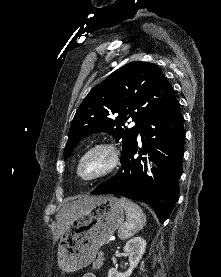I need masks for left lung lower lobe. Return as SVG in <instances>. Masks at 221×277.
Instances as JSON below:
<instances>
[{
    "label": "left lung lower lobe",
    "mask_w": 221,
    "mask_h": 277,
    "mask_svg": "<svg viewBox=\"0 0 221 277\" xmlns=\"http://www.w3.org/2000/svg\"><path fill=\"white\" fill-rule=\"evenodd\" d=\"M140 135L142 148L138 151L135 141L121 161V169L91 194H116L145 202L164 223L177 199L185 141L183 119L175 96L148 121ZM147 153L152 156L149 160L158 166L151 169L153 177L147 174V158L142 157Z\"/></svg>",
    "instance_id": "left-lung-lower-lobe-1"
}]
</instances>
